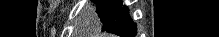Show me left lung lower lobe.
<instances>
[{
	"label": "left lung lower lobe",
	"instance_id": "obj_1",
	"mask_svg": "<svg viewBox=\"0 0 219 37\" xmlns=\"http://www.w3.org/2000/svg\"><path fill=\"white\" fill-rule=\"evenodd\" d=\"M106 32L113 33L121 37H135L136 26L130 19L126 6H121L114 22L106 30Z\"/></svg>",
	"mask_w": 219,
	"mask_h": 37
}]
</instances>
